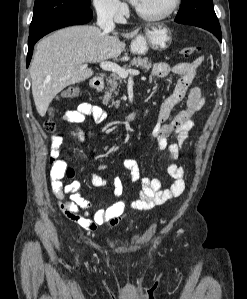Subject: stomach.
Masks as SVG:
<instances>
[{
  "instance_id": "1",
  "label": "stomach",
  "mask_w": 247,
  "mask_h": 299,
  "mask_svg": "<svg viewBox=\"0 0 247 299\" xmlns=\"http://www.w3.org/2000/svg\"><path fill=\"white\" fill-rule=\"evenodd\" d=\"M172 42V33L164 24H151L145 28V36H137L131 43L133 54L145 55L149 49L165 50Z\"/></svg>"
}]
</instances>
